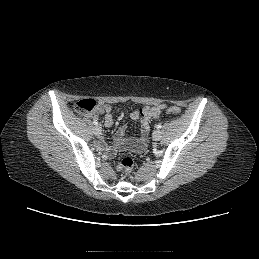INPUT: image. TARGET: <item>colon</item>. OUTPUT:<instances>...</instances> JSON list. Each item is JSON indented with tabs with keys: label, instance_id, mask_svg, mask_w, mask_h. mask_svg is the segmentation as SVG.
Returning a JSON list of instances; mask_svg holds the SVG:
<instances>
[{
	"label": "colon",
	"instance_id": "1",
	"mask_svg": "<svg viewBox=\"0 0 259 259\" xmlns=\"http://www.w3.org/2000/svg\"><path fill=\"white\" fill-rule=\"evenodd\" d=\"M98 108L99 105L97 102L91 98L82 99L75 105V110L81 114H93L98 110ZM164 112L173 116H178L181 114V110L177 106H166L164 108ZM133 167V159L130 157H125L118 163L117 170L125 177H129L133 171Z\"/></svg>",
	"mask_w": 259,
	"mask_h": 259
}]
</instances>
